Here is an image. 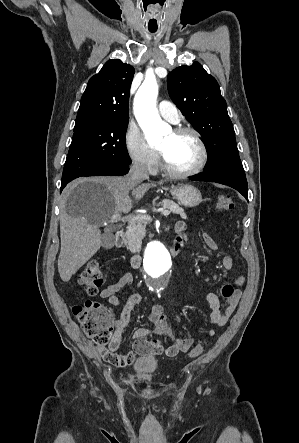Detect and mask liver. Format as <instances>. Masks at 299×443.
<instances>
[{
	"label": "liver",
	"instance_id": "1",
	"mask_svg": "<svg viewBox=\"0 0 299 443\" xmlns=\"http://www.w3.org/2000/svg\"><path fill=\"white\" fill-rule=\"evenodd\" d=\"M138 184L130 187L128 176L82 178L64 190L58 258V271L64 282L100 249L102 236L98 227L115 214L130 212L134 203L156 186L155 183ZM131 189L133 199L129 195Z\"/></svg>",
	"mask_w": 299,
	"mask_h": 443
}]
</instances>
